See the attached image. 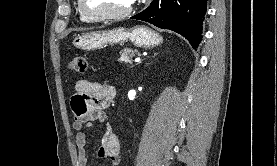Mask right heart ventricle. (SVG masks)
Segmentation results:
<instances>
[{"label": "right heart ventricle", "instance_id": "right-heart-ventricle-1", "mask_svg": "<svg viewBox=\"0 0 277 166\" xmlns=\"http://www.w3.org/2000/svg\"><path fill=\"white\" fill-rule=\"evenodd\" d=\"M80 16H81L82 20H84V21H90V19L87 18L86 16H84L81 12H80Z\"/></svg>", "mask_w": 277, "mask_h": 166}]
</instances>
